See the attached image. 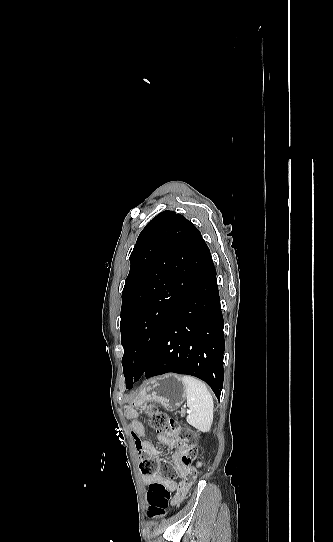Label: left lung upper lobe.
<instances>
[{
    "label": "left lung upper lobe",
    "mask_w": 333,
    "mask_h": 542,
    "mask_svg": "<svg viewBox=\"0 0 333 542\" xmlns=\"http://www.w3.org/2000/svg\"><path fill=\"white\" fill-rule=\"evenodd\" d=\"M210 256L200 231L163 211L141 231L122 292L121 343L125 380L140 377L159 336Z\"/></svg>",
    "instance_id": "left-lung-upper-lobe-1"
}]
</instances>
